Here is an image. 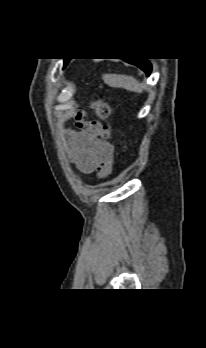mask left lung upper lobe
Wrapping results in <instances>:
<instances>
[{"label":"left lung upper lobe","instance_id":"5c2ea615","mask_svg":"<svg viewBox=\"0 0 206 348\" xmlns=\"http://www.w3.org/2000/svg\"><path fill=\"white\" fill-rule=\"evenodd\" d=\"M68 61H69V60H65L64 65L67 64Z\"/></svg>","mask_w":206,"mask_h":348}]
</instances>
